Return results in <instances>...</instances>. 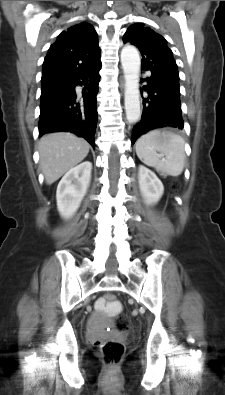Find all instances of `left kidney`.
Returning a JSON list of instances; mask_svg holds the SVG:
<instances>
[{
    "label": "left kidney",
    "instance_id": "1",
    "mask_svg": "<svg viewBox=\"0 0 225 395\" xmlns=\"http://www.w3.org/2000/svg\"><path fill=\"white\" fill-rule=\"evenodd\" d=\"M139 187L148 204L157 203L163 195L164 186L154 172L139 166Z\"/></svg>",
    "mask_w": 225,
    "mask_h": 395
}]
</instances>
